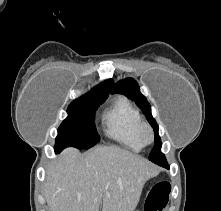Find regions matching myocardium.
Returning <instances> with one entry per match:
<instances>
[{
  "instance_id": "f54148a6",
  "label": "myocardium",
  "mask_w": 221,
  "mask_h": 211,
  "mask_svg": "<svg viewBox=\"0 0 221 211\" xmlns=\"http://www.w3.org/2000/svg\"><path fill=\"white\" fill-rule=\"evenodd\" d=\"M140 137L144 144H150L154 141V132L150 125L142 123Z\"/></svg>"
}]
</instances>
